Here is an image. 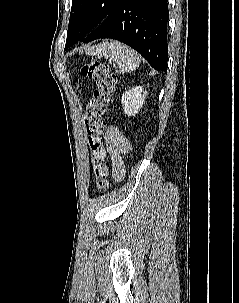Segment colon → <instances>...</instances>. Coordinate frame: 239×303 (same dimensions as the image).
<instances>
[{
	"mask_svg": "<svg viewBox=\"0 0 239 303\" xmlns=\"http://www.w3.org/2000/svg\"><path fill=\"white\" fill-rule=\"evenodd\" d=\"M81 74L94 81L93 97L87 105L85 116V131L91 153L92 171L95 187L104 191L108 187L109 169L104 160L106 149L102 143V136L106 129L104 116L113 102L117 77L109 66L99 60L91 59L81 68Z\"/></svg>",
	"mask_w": 239,
	"mask_h": 303,
	"instance_id": "colon-1",
	"label": "colon"
}]
</instances>
